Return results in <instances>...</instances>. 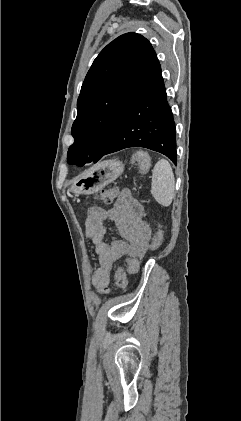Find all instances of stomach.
<instances>
[{
  "mask_svg": "<svg viewBox=\"0 0 241 421\" xmlns=\"http://www.w3.org/2000/svg\"><path fill=\"white\" fill-rule=\"evenodd\" d=\"M124 171V165L118 160H106L91 168L84 175L75 179L69 188L76 196L93 194L113 182Z\"/></svg>",
  "mask_w": 241,
  "mask_h": 421,
  "instance_id": "stomach-1",
  "label": "stomach"
}]
</instances>
